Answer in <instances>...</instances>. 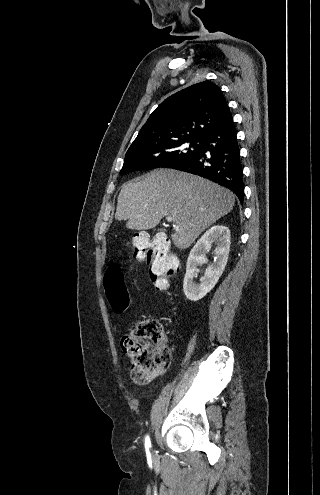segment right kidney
<instances>
[{
	"instance_id": "ca27d5eb",
	"label": "right kidney",
	"mask_w": 320,
	"mask_h": 495,
	"mask_svg": "<svg viewBox=\"0 0 320 495\" xmlns=\"http://www.w3.org/2000/svg\"><path fill=\"white\" fill-rule=\"evenodd\" d=\"M215 245L213 251L215 260L208 264L205 274L200 278V283H195L197 267L207 262L206 253L209 252L212 245ZM230 250V230L222 225H216L208 229L192 248L186 266L184 277L183 291L185 296L191 301L202 299L210 292L222 273L225 270Z\"/></svg>"
}]
</instances>
